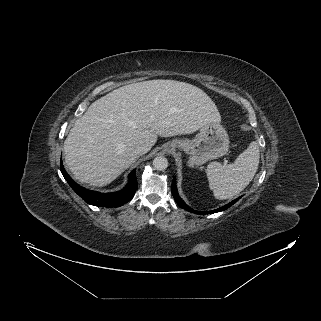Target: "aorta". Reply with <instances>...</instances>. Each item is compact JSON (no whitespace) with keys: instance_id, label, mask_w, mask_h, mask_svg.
Listing matches in <instances>:
<instances>
[{"instance_id":"762f6f07","label":"aorta","mask_w":321,"mask_h":321,"mask_svg":"<svg viewBox=\"0 0 321 321\" xmlns=\"http://www.w3.org/2000/svg\"><path fill=\"white\" fill-rule=\"evenodd\" d=\"M153 166L156 170H165L168 167V160L164 156H157L153 160Z\"/></svg>"}]
</instances>
